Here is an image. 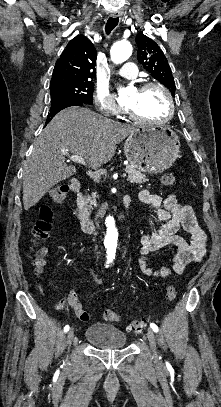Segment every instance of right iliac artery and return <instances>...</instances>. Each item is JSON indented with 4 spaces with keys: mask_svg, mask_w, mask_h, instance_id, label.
<instances>
[{
    "mask_svg": "<svg viewBox=\"0 0 221 407\" xmlns=\"http://www.w3.org/2000/svg\"><path fill=\"white\" fill-rule=\"evenodd\" d=\"M69 331V325H66L65 327H64V332H68Z\"/></svg>",
    "mask_w": 221,
    "mask_h": 407,
    "instance_id": "1",
    "label": "right iliac artery"
}]
</instances>
